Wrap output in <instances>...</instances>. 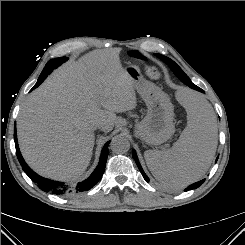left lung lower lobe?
Returning a JSON list of instances; mask_svg holds the SVG:
<instances>
[{
  "instance_id": "obj_1",
  "label": "left lung lower lobe",
  "mask_w": 245,
  "mask_h": 245,
  "mask_svg": "<svg viewBox=\"0 0 245 245\" xmlns=\"http://www.w3.org/2000/svg\"><path fill=\"white\" fill-rule=\"evenodd\" d=\"M178 78H179L182 82H184L187 86H189V87H191V88H193V89H195V90H198V91H200V92H204L201 88H199L198 86H196V85L193 84L192 82H187L183 77L180 76V77H178ZM132 155H133V158H134V160H135V162H136V164H137V166H138V168H139V170H140V172H141L143 178L148 182V181H149V178L147 177V175H146L145 172L143 171V169H142V167H141V165H140V162H139V160H138V157H137V155H136L135 150L132 151ZM217 159H218V157H217ZM216 161H217V160H216ZM204 181H205V179H203V180H201V181H198V182H196V183H194V184L189 185V186L185 189V191H189V190L198 188L199 186H201V185L203 184Z\"/></svg>"
}]
</instances>
